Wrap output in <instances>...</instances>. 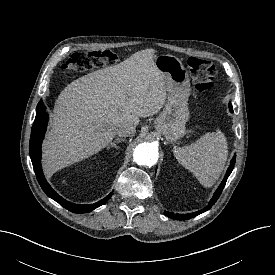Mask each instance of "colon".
Segmentation results:
<instances>
[{
    "label": "colon",
    "mask_w": 275,
    "mask_h": 275,
    "mask_svg": "<svg viewBox=\"0 0 275 275\" xmlns=\"http://www.w3.org/2000/svg\"><path fill=\"white\" fill-rule=\"evenodd\" d=\"M116 59L117 55L110 50L76 52L62 65V69L68 72H83L112 64ZM188 67L197 91L205 92L214 86L216 68L212 62L197 57H190L188 59Z\"/></svg>",
    "instance_id": "obj_1"
}]
</instances>
